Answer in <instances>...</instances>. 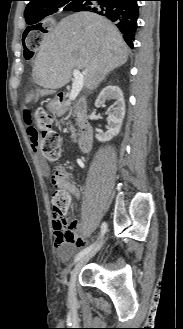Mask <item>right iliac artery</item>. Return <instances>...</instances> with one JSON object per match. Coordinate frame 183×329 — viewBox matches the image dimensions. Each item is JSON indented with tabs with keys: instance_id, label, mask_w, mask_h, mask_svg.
Instances as JSON below:
<instances>
[{
	"instance_id": "82829eb1",
	"label": "right iliac artery",
	"mask_w": 183,
	"mask_h": 329,
	"mask_svg": "<svg viewBox=\"0 0 183 329\" xmlns=\"http://www.w3.org/2000/svg\"><path fill=\"white\" fill-rule=\"evenodd\" d=\"M107 231V224L105 222L102 223L101 225V235L100 237H102ZM96 242L92 245H90L89 247L85 248L84 250H82L80 253L77 254V256L75 257V262H77L78 260H80L85 254H87L94 246H95Z\"/></svg>"
}]
</instances>
